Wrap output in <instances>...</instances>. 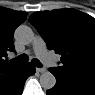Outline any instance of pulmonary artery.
<instances>
[{
    "label": "pulmonary artery",
    "instance_id": "obj_1",
    "mask_svg": "<svg viewBox=\"0 0 95 95\" xmlns=\"http://www.w3.org/2000/svg\"><path fill=\"white\" fill-rule=\"evenodd\" d=\"M33 49L35 54L48 66H56L58 61L53 54H50L46 48L44 40L40 36H36L33 41Z\"/></svg>",
    "mask_w": 95,
    "mask_h": 95
}]
</instances>
